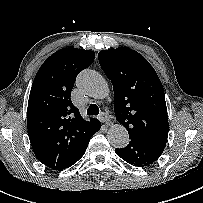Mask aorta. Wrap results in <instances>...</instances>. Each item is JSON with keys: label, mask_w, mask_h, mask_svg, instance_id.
I'll return each mask as SVG.
<instances>
[{"label": "aorta", "mask_w": 203, "mask_h": 203, "mask_svg": "<svg viewBox=\"0 0 203 203\" xmlns=\"http://www.w3.org/2000/svg\"><path fill=\"white\" fill-rule=\"evenodd\" d=\"M76 83L83 94L94 99H103L109 94L107 82L95 71H82L79 74ZM107 139L114 148H124L129 144L128 131L121 124H114L109 128Z\"/></svg>", "instance_id": "762f6f07"}]
</instances>
